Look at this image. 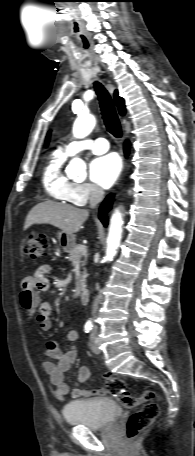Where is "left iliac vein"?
<instances>
[{"label":"left iliac vein","instance_id":"obj_1","mask_svg":"<svg viewBox=\"0 0 195 456\" xmlns=\"http://www.w3.org/2000/svg\"><path fill=\"white\" fill-rule=\"evenodd\" d=\"M89 346L93 353L99 354L101 352V350L98 347L97 341H96V330L95 329L91 333Z\"/></svg>","mask_w":195,"mask_h":456}]
</instances>
